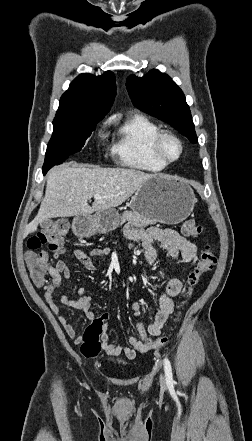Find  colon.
<instances>
[{
    "label": "colon",
    "instance_id": "obj_1",
    "mask_svg": "<svg viewBox=\"0 0 252 441\" xmlns=\"http://www.w3.org/2000/svg\"><path fill=\"white\" fill-rule=\"evenodd\" d=\"M201 226L194 220H186L181 226V232L188 237H197L201 233ZM68 231V222L66 220H57L41 232L31 237L28 241V251L26 261L30 269L31 278L36 286H43L46 282L47 254L40 249L46 246L52 252H62L64 238ZM217 262L216 255L211 247H205L199 254V258L194 269L187 277L186 297H189L195 287L200 283L205 273L211 270ZM109 318L108 313H102L94 318L90 325L85 329L81 336V353L86 358L96 357L102 348L100 336L103 333L106 321ZM178 319L176 315L174 321ZM136 330L142 337H146V329L142 323L136 324ZM167 336H162L155 341L147 342L148 349H158L167 343Z\"/></svg>",
    "mask_w": 252,
    "mask_h": 441
}]
</instances>
